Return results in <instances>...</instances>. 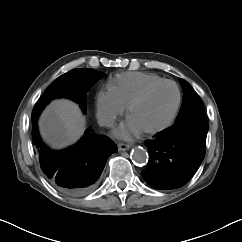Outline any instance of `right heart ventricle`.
<instances>
[{
    "label": "right heart ventricle",
    "mask_w": 242,
    "mask_h": 242,
    "mask_svg": "<svg viewBox=\"0 0 242 242\" xmlns=\"http://www.w3.org/2000/svg\"><path fill=\"white\" fill-rule=\"evenodd\" d=\"M162 80V77L153 73L127 72L113 78L109 88L124 106H128L146 87Z\"/></svg>",
    "instance_id": "1"
}]
</instances>
